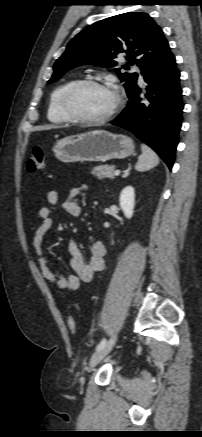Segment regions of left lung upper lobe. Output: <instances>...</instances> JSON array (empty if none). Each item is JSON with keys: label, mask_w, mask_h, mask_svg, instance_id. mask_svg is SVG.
Segmentation results:
<instances>
[{"label": "left lung upper lobe", "mask_w": 202, "mask_h": 437, "mask_svg": "<svg viewBox=\"0 0 202 437\" xmlns=\"http://www.w3.org/2000/svg\"><path fill=\"white\" fill-rule=\"evenodd\" d=\"M167 46L162 29L148 14L129 12L109 17L82 30L68 43L54 64L48 83L80 65L117 66L118 54H127L128 65H123L124 69L137 63L143 73ZM116 72L129 97L136 87L138 74L121 73L120 69Z\"/></svg>", "instance_id": "5c2ea615"}]
</instances>
